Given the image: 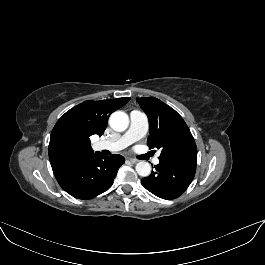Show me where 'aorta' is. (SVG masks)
Wrapping results in <instances>:
<instances>
[{"mask_svg": "<svg viewBox=\"0 0 265 265\" xmlns=\"http://www.w3.org/2000/svg\"><path fill=\"white\" fill-rule=\"evenodd\" d=\"M110 127L118 132H122L128 128L129 117L122 111H115L109 118ZM136 172L142 176L147 177L151 173V165L146 161H140L136 164Z\"/></svg>", "mask_w": 265, "mask_h": 265, "instance_id": "1", "label": "aorta"}]
</instances>
